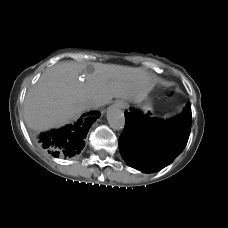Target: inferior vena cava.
Returning <instances> with one entry per match:
<instances>
[{
  "instance_id": "obj_1",
  "label": "inferior vena cava",
  "mask_w": 228,
  "mask_h": 228,
  "mask_svg": "<svg viewBox=\"0 0 228 228\" xmlns=\"http://www.w3.org/2000/svg\"><path fill=\"white\" fill-rule=\"evenodd\" d=\"M97 105L93 101H87L86 102V107L89 109L95 108Z\"/></svg>"
}]
</instances>
